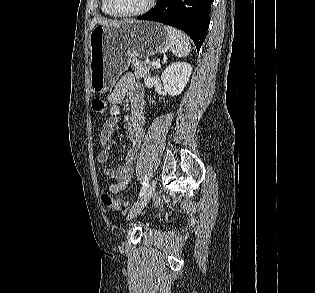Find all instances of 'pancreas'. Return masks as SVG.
Wrapping results in <instances>:
<instances>
[{"instance_id": "1", "label": "pancreas", "mask_w": 315, "mask_h": 293, "mask_svg": "<svg viewBox=\"0 0 315 293\" xmlns=\"http://www.w3.org/2000/svg\"><path fill=\"white\" fill-rule=\"evenodd\" d=\"M131 64L135 69L134 74L137 79L147 77L148 75H150V71L155 69V66H153L152 63L149 61L132 59Z\"/></svg>"}]
</instances>
